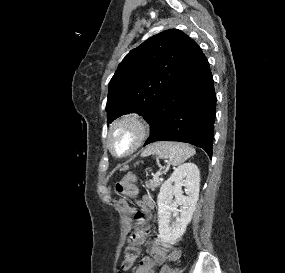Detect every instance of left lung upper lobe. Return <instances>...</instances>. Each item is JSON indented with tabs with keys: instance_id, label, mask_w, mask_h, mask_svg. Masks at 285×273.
<instances>
[{
	"instance_id": "5c2ea615",
	"label": "left lung upper lobe",
	"mask_w": 285,
	"mask_h": 273,
	"mask_svg": "<svg viewBox=\"0 0 285 273\" xmlns=\"http://www.w3.org/2000/svg\"><path fill=\"white\" fill-rule=\"evenodd\" d=\"M191 44L188 35L170 29L131 50L109 82L108 122L134 112L146 119L177 79Z\"/></svg>"
}]
</instances>
